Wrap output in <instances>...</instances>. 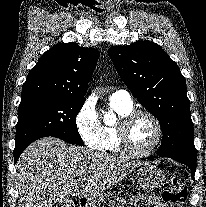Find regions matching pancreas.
Wrapping results in <instances>:
<instances>
[{
    "label": "pancreas",
    "mask_w": 206,
    "mask_h": 207,
    "mask_svg": "<svg viewBox=\"0 0 206 207\" xmlns=\"http://www.w3.org/2000/svg\"><path fill=\"white\" fill-rule=\"evenodd\" d=\"M113 199L114 200L111 203V207H114L115 203L118 204V207H125V205L127 204V202L124 199H120L117 196L113 197Z\"/></svg>",
    "instance_id": "pancreas-1"
}]
</instances>
